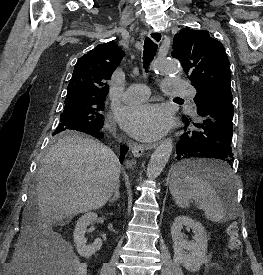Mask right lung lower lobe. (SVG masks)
<instances>
[{
    "label": "right lung lower lobe",
    "mask_w": 263,
    "mask_h": 275,
    "mask_svg": "<svg viewBox=\"0 0 263 275\" xmlns=\"http://www.w3.org/2000/svg\"><path fill=\"white\" fill-rule=\"evenodd\" d=\"M81 132L92 135L93 137H96V138L104 137V135L101 132H99V130H95V129L94 130H81ZM127 151H128V147L125 145H121V147H120V152H121L120 153V162L121 163H123V160H124V157H125Z\"/></svg>",
    "instance_id": "right-lung-lower-lobe-1"
}]
</instances>
